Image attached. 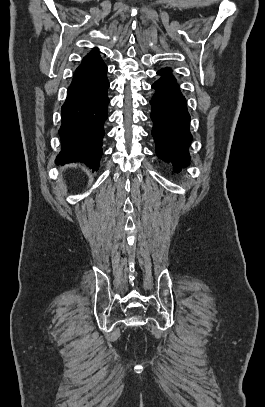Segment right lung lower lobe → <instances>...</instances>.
Returning a JSON list of instances; mask_svg holds the SVG:
<instances>
[{"label": "right lung lower lobe", "instance_id": "right-lung-lower-lobe-1", "mask_svg": "<svg viewBox=\"0 0 265 407\" xmlns=\"http://www.w3.org/2000/svg\"><path fill=\"white\" fill-rule=\"evenodd\" d=\"M106 71L98 52L85 56L76 68L62 106V149L57 164L82 162L98 170L109 103Z\"/></svg>", "mask_w": 265, "mask_h": 407}]
</instances>
